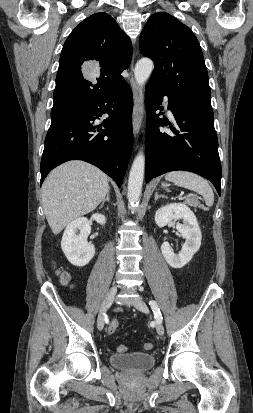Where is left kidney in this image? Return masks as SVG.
Listing matches in <instances>:
<instances>
[{
  "mask_svg": "<svg viewBox=\"0 0 253 413\" xmlns=\"http://www.w3.org/2000/svg\"><path fill=\"white\" fill-rule=\"evenodd\" d=\"M180 219L183 220V224L177 223L176 229L185 239L181 251L176 254L169 242H163L161 245L163 257L175 269L185 266L201 246L202 234L196 216L183 203L166 204L159 208L155 214V222L159 227H164L168 223Z\"/></svg>",
  "mask_w": 253,
  "mask_h": 413,
  "instance_id": "obj_1",
  "label": "left kidney"
}]
</instances>
